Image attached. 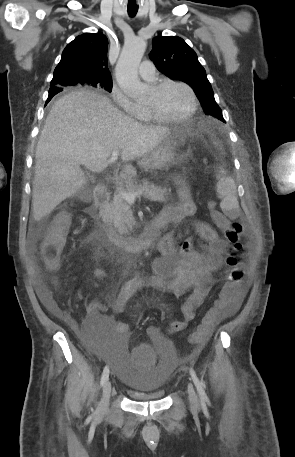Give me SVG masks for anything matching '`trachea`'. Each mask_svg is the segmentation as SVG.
Masks as SVG:
<instances>
[{"mask_svg": "<svg viewBox=\"0 0 295 457\" xmlns=\"http://www.w3.org/2000/svg\"><path fill=\"white\" fill-rule=\"evenodd\" d=\"M137 6L136 4L131 6L128 4V14L130 15V17H134L136 14H137Z\"/></svg>", "mask_w": 295, "mask_h": 457, "instance_id": "obj_1", "label": "trachea"}]
</instances>
